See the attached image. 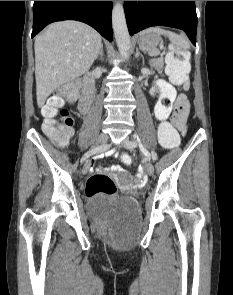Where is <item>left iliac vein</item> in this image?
Segmentation results:
<instances>
[{
  "mask_svg": "<svg viewBox=\"0 0 233 295\" xmlns=\"http://www.w3.org/2000/svg\"><path fill=\"white\" fill-rule=\"evenodd\" d=\"M130 141L129 138H126L123 142L122 145L129 150H134V148H136L137 145H130L128 142ZM145 169L148 175H153L154 174V167L152 165V163H150L149 161H146V165H145Z\"/></svg>",
  "mask_w": 233,
  "mask_h": 295,
  "instance_id": "left-iliac-vein-1",
  "label": "left iliac vein"
}]
</instances>
